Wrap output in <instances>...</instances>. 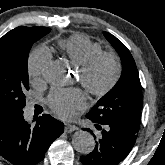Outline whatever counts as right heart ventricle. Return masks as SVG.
Returning <instances> with one entry per match:
<instances>
[{
  "mask_svg": "<svg viewBox=\"0 0 165 165\" xmlns=\"http://www.w3.org/2000/svg\"><path fill=\"white\" fill-rule=\"evenodd\" d=\"M57 44L66 57L77 66H81L92 55L102 51L99 43L79 33L61 39Z\"/></svg>",
  "mask_w": 165,
  "mask_h": 165,
  "instance_id": "right-heart-ventricle-1",
  "label": "right heart ventricle"
}]
</instances>
